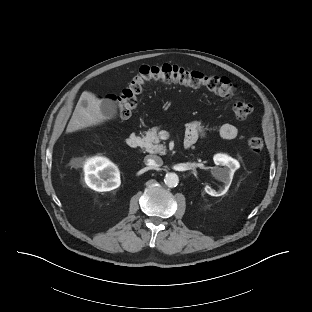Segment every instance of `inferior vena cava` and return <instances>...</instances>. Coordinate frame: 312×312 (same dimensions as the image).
Masks as SVG:
<instances>
[{"instance_id":"602c4592","label":"inferior vena cava","mask_w":312,"mask_h":312,"mask_svg":"<svg viewBox=\"0 0 312 312\" xmlns=\"http://www.w3.org/2000/svg\"><path fill=\"white\" fill-rule=\"evenodd\" d=\"M145 163L152 168H158L163 165V160L159 156L148 155L145 157Z\"/></svg>"}]
</instances>
